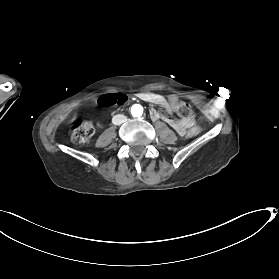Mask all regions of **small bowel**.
<instances>
[{"instance_id":"1","label":"small bowel","mask_w":279,"mask_h":279,"mask_svg":"<svg viewBox=\"0 0 279 279\" xmlns=\"http://www.w3.org/2000/svg\"><path fill=\"white\" fill-rule=\"evenodd\" d=\"M139 97L147 102L163 108L169 115L160 114L155 109H151L150 116L153 120L162 119L169 124L179 135L183 136L189 128L193 126L192 120H180L173 117L171 114L176 108L179 100L176 96L171 95L168 98L153 92L140 93Z\"/></svg>"}]
</instances>
